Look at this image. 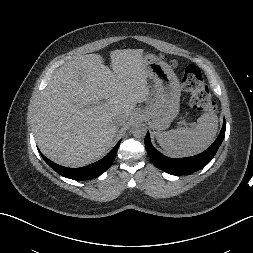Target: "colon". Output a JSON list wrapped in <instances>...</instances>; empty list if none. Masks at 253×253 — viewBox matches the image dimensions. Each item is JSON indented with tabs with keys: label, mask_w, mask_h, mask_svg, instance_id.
Here are the masks:
<instances>
[{
	"label": "colon",
	"mask_w": 253,
	"mask_h": 253,
	"mask_svg": "<svg viewBox=\"0 0 253 253\" xmlns=\"http://www.w3.org/2000/svg\"><path fill=\"white\" fill-rule=\"evenodd\" d=\"M182 86L190 94V104L196 111L209 112L215 110L216 103L198 66L195 64L186 66Z\"/></svg>",
	"instance_id": "1"
}]
</instances>
